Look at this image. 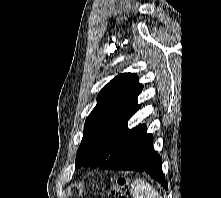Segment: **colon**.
<instances>
[{"mask_svg": "<svg viewBox=\"0 0 221 198\" xmlns=\"http://www.w3.org/2000/svg\"><path fill=\"white\" fill-rule=\"evenodd\" d=\"M107 193L116 198H131L128 181L123 177H119L115 183L107 189Z\"/></svg>", "mask_w": 221, "mask_h": 198, "instance_id": "5ec220e1", "label": "colon"}]
</instances>
